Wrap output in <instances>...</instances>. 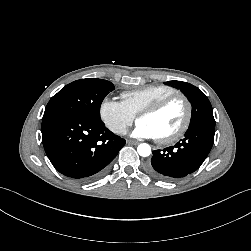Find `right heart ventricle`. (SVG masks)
I'll list each match as a JSON object with an SVG mask.
<instances>
[{"instance_id":"1","label":"right heart ventricle","mask_w":251,"mask_h":251,"mask_svg":"<svg viewBox=\"0 0 251 251\" xmlns=\"http://www.w3.org/2000/svg\"><path fill=\"white\" fill-rule=\"evenodd\" d=\"M175 92L177 90L172 86L158 84L123 92L121 98L125 107L136 116L147 107Z\"/></svg>"}]
</instances>
